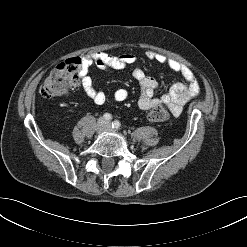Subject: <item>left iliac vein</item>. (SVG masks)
Segmentation results:
<instances>
[{"label": "left iliac vein", "instance_id": "obj_1", "mask_svg": "<svg viewBox=\"0 0 247 247\" xmlns=\"http://www.w3.org/2000/svg\"><path fill=\"white\" fill-rule=\"evenodd\" d=\"M106 130L112 131L111 123H109V122L107 123Z\"/></svg>", "mask_w": 247, "mask_h": 247}]
</instances>
